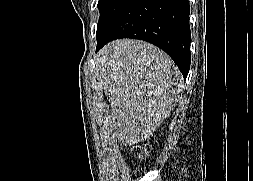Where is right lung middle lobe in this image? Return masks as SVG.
<instances>
[{
	"instance_id": "right-lung-middle-lobe-1",
	"label": "right lung middle lobe",
	"mask_w": 253,
	"mask_h": 181,
	"mask_svg": "<svg viewBox=\"0 0 253 181\" xmlns=\"http://www.w3.org/2000/svg\"><path fill=\"white\" fill-rule=\"evenodd\" d=\"M133 0H99L100 18L96 37L111 25Z\"/></svg>"
}]
</instances>
